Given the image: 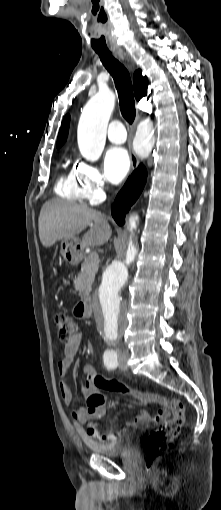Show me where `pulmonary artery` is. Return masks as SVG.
I'll return each instance as SVG.
<instances>
[{"instance_id":"pulmonary-artery-1","label":"pulmonary artery","mask_w":221,"mask_h":510,"mask_svg":"<svg viewBox=\"0 0 221 510\" xmlns=\"http://www.w3.org/2000/svg\"><path fill=\"white\" fill-rule=\"evenodd\" d=\"M108 139L114 144H121L126 141V130L124 125L120 121H113L109 125Z\"/></svg>"}]
</instances>
